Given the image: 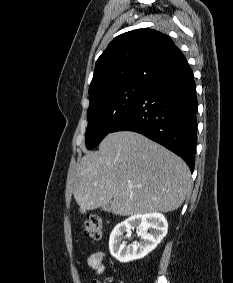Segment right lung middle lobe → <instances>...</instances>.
<instances>
[{
    "label": "right lung middle lobe",
    "instance_id": "right-lung-middle-lobe-1",
    "mask_svg": "<svg viewBox=\"0 0 233 283\" xmlns=\"http://www.w3.org/2000/svg\"><path fill=\"white\" fill-rule=\"evenodd\" d=\"M148 84L130 83L110 90L90 102L87 116L86 146L92 149L121 121Z\"/></svg>",
    "mask_w": 233,
    "mask_h": 283
}]
</instances>
